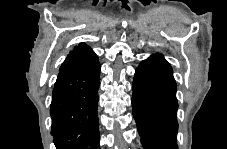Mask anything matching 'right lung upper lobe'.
<instances>
[{"label":"right lung upper lobe","mask_w":227,"mask_h":149,"mask_svg":"<svg viewBox=\"0 0 227 149\" xmlns=\"http://www.w3.org/2000/svg\"><path fill=\"white\" fill-rule=\"evenodd\" d=\"M94 57H96V54L92 51V49L86 44L80 43L69 53V55L61 65L60 70L77 63L90 60Z\"/></svg>","instance_id":"right-lung-upper-lobe-1"}]
</instances>
